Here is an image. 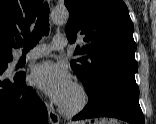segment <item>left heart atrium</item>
I'll return each instance as SVG.
<instances>
[{"mask_svg": "<svg viewBox=\"0 0 156 124\" xmlns=\"http://www.w3.org/2000/svg\"><path fill=\"white\" fill-rule=\"evenodd\" d=\"M31 82L42 89L55 103L61 105L73 87L68 71L59 64L43 62L31 73Z\"/></svg>", "mask_w": 156, "mask_h": 124, "instance_id": "obj_1", "label": "left heart atrium"}]
</instances>
